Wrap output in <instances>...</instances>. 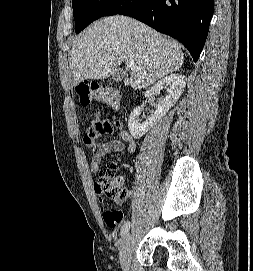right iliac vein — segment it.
I'll list each match as a JSON object with an SVG mask.
<instances>
[{"label": "right iliac vein", "mask_w": 253, "mask_h": 271, "mask_svg": "<svg viewBox=\"0 0 253 271\" xmlns=\"http://www.w3.org/2000/svg\"><path fill=\"white\" fill-rule=\"evenodd\" d=\"M131 249H132V237L130 233H126L121 240L119 253L120 264L124 271H127L129 267Z\"/></svg>", "instance_id": "obj_1"}]
</instances>
